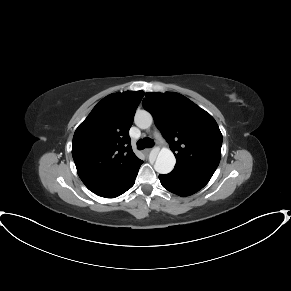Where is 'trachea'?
Listing matches in <instances>:
<instances>
[{"label":"trachea","mask_w":291,"mask_h":291,"mask_svg":"<svg viewBox=\"0 0 291 291\" xmlns=\"http://www.w3.org/2000/svg\"><path fill=\"white\" fill-rule=\"evenodd\" d=\"M154 145V140L151 138H144V139H139L137 141V148L138 150H143L145 148H151Z\"/></svg>","instance_id":"3493384b"}]
</instances>
